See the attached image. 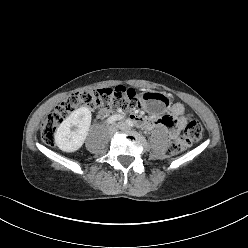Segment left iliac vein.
Instances as JSON below:
<instances>
[{
	"instance_id": "4c4485c4",
	"label": "left iliac vein",
	"mask_w": 248,
	"mask_h": 248,
	"mask_svg": "<svg viewBox=\"0 0 248 248\" xmlns=\"http://www.w3.org/2000/svg\"><path fill=\"white\" fill-rule=\"evenodd\" d=\"M119 127H120V129H122V130L128 129V127H127L124 123H120V124H119Z\"/></svg>"
}]
</instances>
